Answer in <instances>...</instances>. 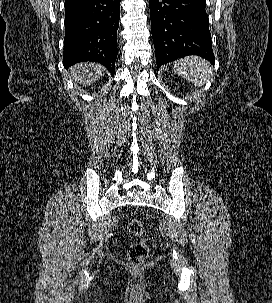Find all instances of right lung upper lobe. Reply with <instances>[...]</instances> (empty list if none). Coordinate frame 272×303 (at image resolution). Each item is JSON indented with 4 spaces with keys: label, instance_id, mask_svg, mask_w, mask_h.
<instances>
[{
    "label": "right lung upper lobe",
    "instance_id": "1",
    "mask_svg": "<svg viewBox=\"0 0 272 303\" xmlns=\"http://www.w3.org/2000/svg\"><path fill=\"white\" fill-rule=\"evenodd\" d=\"M71 1H74V0H65V3H68V2H71Z\"/></svg>",
    "mask_w": 272,
    "mask_h": 303
}]
</instances>
